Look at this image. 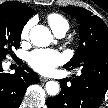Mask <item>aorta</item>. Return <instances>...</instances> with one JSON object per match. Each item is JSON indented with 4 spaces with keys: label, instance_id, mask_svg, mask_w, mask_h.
Wrapping results in <instances>:
<instances>
[{
    "label": "aorta",
    "instance_id": "aorta-1",
    "mask_svg": "<svg viewBox=\"0 0 108 108\" xmlns=\"http://www.w3.org/2000/svg\"><path fill=\"white\" fill-rule=\"evenodd\" d=\"M30 40L31 43L38 47H45L52 41V35L49 29L43 25L34 26L30 30ZM60 85L56 81H49L46 83V92L55 96L59 93Z\"/></svg>",
    "mask_w": 108,
    "mask_h": 108
}]
</instances>
